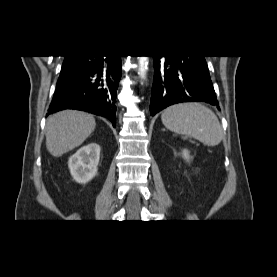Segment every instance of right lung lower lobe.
<instances>
[{"label":"right lung lower lobe","instance_id":"right-lung-lower-lobe-1","mask_svg":"<svg viewBox=\"0 0 277 277\" xmlns=\"http://www.w3.org/2000/svg\"><path fill=\"white\" fill-rule=\"evenodd\" d=\"M121 56H71L63 62L48 114L77 109L108 118L116 126Z\"/></svg>","mask_w":277,"mask_h":277}]
</instances>
